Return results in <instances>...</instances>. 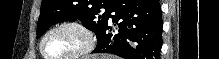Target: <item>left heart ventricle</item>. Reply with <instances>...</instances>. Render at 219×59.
<instances>
[{"mask_svg": "<svg viewBox=\"0 0 219 59\" xmlns=\"http://www.w3.org/2000/svg\"><path fill=\"white\" fill-rule=\"evenodd\" d=\"M84 43L80 32L63 28L51 33L45 41L44 50L51 57H65L78 51Z\"/></svg>", "mask_w": 219, "mask_h": 59, "instance_id": "b2bd125f", "label": "left heart ventricle"}]
</instances>
